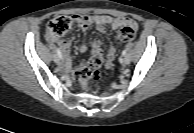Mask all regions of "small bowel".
I'll list each match as a JSON object with an SVG mask.
<instances>
[{
	"label": "small bowel",
	"mask_w": 194,
	"mask_h": 133,
	"mask_svg": "<svg viewBox=\"0 0 194 133\" xmlns=\"http://www.w3.org/2000/svg\"><path fill=\"white\" fill-rule=\"evenodd\" d=\"M73 20L78 23L79 27L82 30H87L90 25L94 24L96 26V29L99 32H106L107 26H110L112 29H123L125 27L132 28L135 32L137 30V23L130 18L126 17H111L108 15H100V14H94V13H88V14H79L74 15ZM47 38L49 41L56 42L64 55V63L63 67L66 72H69L71 69V62L69 58V49H70V42L68 40H60L55 37H52L51 35L47 34ZM100 48V41L98 39H95L92 42V48ZM80 51L85 53L88 50V47L85 44L80 45L79 47ZM117 47L116 46H110L107 52V58L105 62V66L107 68L112 66V63L116 57L117 54Z\"/></svg>",
	"instance_id": "obj_1"
}]
</instances>
